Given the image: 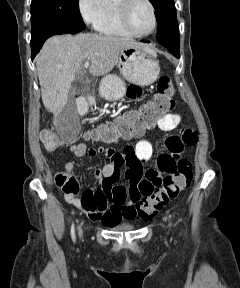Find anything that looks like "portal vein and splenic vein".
Masks as SVG:
<instances>
[{"label":"portal vein and splenic vein","mask_w":240,"mask_h":288,"mask_svg":"<svg viewBox=\"0 0 240 288\" xmlns=\"http://www.w3.org/2000/svg\"><path fill=\"white\" fill-rule=\"evenodd\" d=\"M89 65H90V62L89 61H86L85 63H84V65H83V68H88L89 67Z\"/></svg>","instance_id":"18ae733b"}]
</instances>
